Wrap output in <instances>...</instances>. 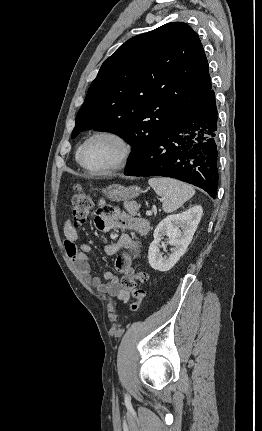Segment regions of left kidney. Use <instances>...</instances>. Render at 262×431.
Here are the masks:
<instances>
[{"label": "left kidney", "instance_id": "obj_1", "mask_svg": "<svg viewBox=\"0 0 262 431\" xmlns=\"http://www.w3.org/2000/svg\"><path fill=\"white\" fill-rule=\"evenodd\" d=\"M202 213L201 206H194L182 213L167 216L157 225L154 240L148 250V261L153 269L165 272L178 262L193 238ZM163 236L169 237V244L172 246L171 253L164 257L159 251Z\"/></svg>", "mask_w": 262, "mask_h": 431}]
</instances>
